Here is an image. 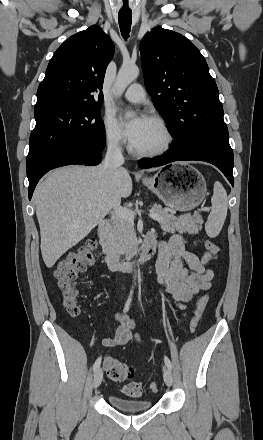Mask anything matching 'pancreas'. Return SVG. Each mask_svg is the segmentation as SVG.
<instances>
[{"mask_svg": "<svg viewBox=\"0 0 263 440\" xmlns=\"http://www.w3.org/2000/svg\"><path fill=\"white\" fill-rule=\"evenodd\" d=\"M152 211L163 217V220L158 222L165 232L173 233L177 231L179 233L195 235L202 228L203 219L198 213L175 217L156 204L153 205ZM135 237L134 223L120 217L113 220L112 229L109 234V245L116 257L124 254L128 255L135 250Z\"/></svg>", "mask_w": 263, "mask_h": 440, "instance_id": "cf45deb5", "label": "pancreas"}]
</instances>
